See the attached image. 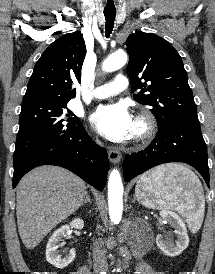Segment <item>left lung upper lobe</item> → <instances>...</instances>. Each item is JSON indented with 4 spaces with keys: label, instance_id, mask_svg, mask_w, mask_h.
I'll use <instances>...</instances> for the list:
<instances>
[{
    "label": "left lung upper lobe",
    "instance_id": "5c2ea615",
    "mask_svg": "<svg viewBox=\"0 0 215 274\" xmlns=\"http://www.w3.org/2000/svg\"><path fill=\"white\" fill-rule=\"evenodd\" d=\"M127 74L133 97L151 106L158 127L183 124L200 127L187 73L176 49L152 33H134L127 41Z\"/></svg>",
    "mask_w": 215,
    "mask_h": 274
}]
</instances>
